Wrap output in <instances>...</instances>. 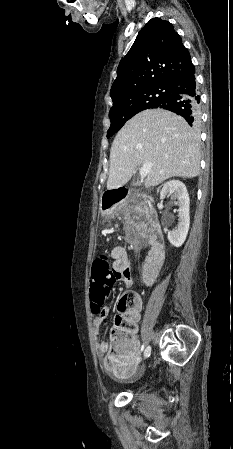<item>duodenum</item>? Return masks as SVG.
<instances>
[{
    "label": "duodenum",
    "mask_w": 233,
    "mask_h": 449,
    "mask_svg": "<svg viewBox=\"0 0 233 449\" xmlns=\"http://www.w3.org/2000/svg\"><path fill=\"white\" fill-rule=\"evenodd\" d=\"M141 200L146 202L147 198L132 190L131 186H111L109 191L103 192L102 206H124L126 201ZM150 250L146 257L143 272H155L158 275L164 259V243L162 231L155 215L149 214L145 219Z\"/></svg>",
    "instance_id": "410a0bca"
}]
</instances>
